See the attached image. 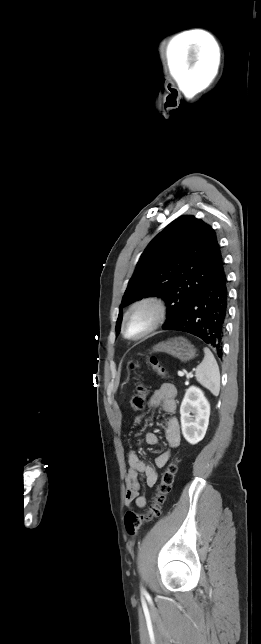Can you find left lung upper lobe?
Here are the masks:
<instances>
[{
    "label": "left lung upper lobe",
    "instance_id": "1",
    "mask_svg": "<svg viewBox=\"0 0 261 644\" xmlns=\"http://www.w3.org/2000/svg\"><path fill=\"white\" fill-rule=\"evenodd\" d=\"M215 231L200 219L181 216L148 245L120 306L147 296H161L167 303V321L173 323L201 290L222 261Z\"/></svg>",
    "mask_w": 261,
    "mask_h": 644
}]
</instances>
